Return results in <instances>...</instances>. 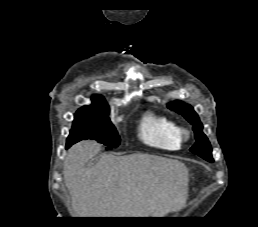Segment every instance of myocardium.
Returning a JSON list of instances; mask_svg holds the SVG:
<instances>
[{"label":"myocardium","mask_w":258,"mask_h":227,"mask_svg":"<svg viewBox=\"0 0 258 227\" xmlns=\"http://www.w3.org/2000/svg\"><path fill=\"white\" fill-rule=\"evenodd\" d=\"M192 135V131L187 127H179L178 129V136L180 140H188Z\"/></svg>","instance_id":"f54148a6"}]
</instances>
